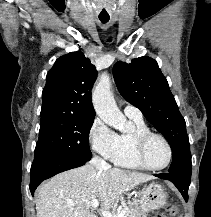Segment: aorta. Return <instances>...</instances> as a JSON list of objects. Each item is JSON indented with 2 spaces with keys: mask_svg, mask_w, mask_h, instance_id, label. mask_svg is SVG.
<instances>
[{
  "mask_svg": "<svg viewBox=\"0 0 211 217\" xmlns=\"http://www.w3.org/2000/svg\"><path fill=\"white\" fill-rule=\"evenodd\" d=\"M96 114L109 126L124 132L129 129V123L116 105L111 92L109 75L103 73L92 94Z\"/></svg>",
  "mask_w": 211,
  "mask_h": 217,
  "instance_id": "aorta-1",
  "label": "aorta"
}]
</instances>
